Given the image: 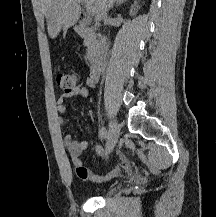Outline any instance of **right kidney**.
I'll return each mask as SVG.
<instances>
[{
    "label": "right kidney",
    "instance_id": "right-kidney-1",
    "mask_svg": "<svg viewBox=\"0 0 216 217\" xmlns=\"http://www.w3.org/2000/svg\"><path fill=\"white\" fill-rule=\"evenodd\" d=\"M139 9L138 4L135 2L130 9V15H135Z\"/></svg>",
    "mask_w": 216,
    "mask_h": 217
}]
</instances>
